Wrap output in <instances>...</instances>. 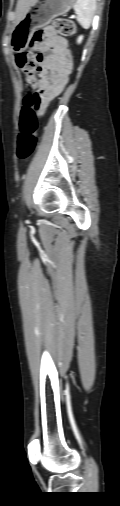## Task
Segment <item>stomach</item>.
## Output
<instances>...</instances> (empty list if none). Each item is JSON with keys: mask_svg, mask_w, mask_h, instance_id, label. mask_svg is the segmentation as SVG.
I'll return each instance as SVG.
<instances>
[{"mask_svg": "<svg viewBox=\"0 0 120 506\" xmlns=\"http://www.w3.org/2000/svg\"><path fill=\"white\" fill-rule=\"evenodd\" d=\"M75 0H35L29 6L21 21L12 29L10 47L15 53L26 50L37 27L47 24L51 19L67 13Z\"/></svg>", "mask_w": 120, "mask_h": 506, "instance_id": "1", "label": "stomach"}]
</instances>
